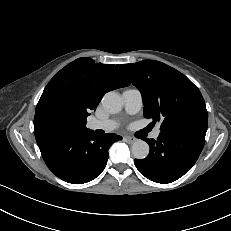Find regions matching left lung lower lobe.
Returning a JSON list of instances; mask_svg holds the SVG:
<instances>
[{
  "label": "left lung lower lobe",
  "mask_w": 231,
  "mask_h": 231,
  "mask_svg": "<svg viewBox=\"0 0 231 231\" xmlns=\"http://www.w3.org/2000/svg\"><path fill=\"white\" fill-rule=\"evenodd\" d=\"M205 135V132L191 129L160 132L157 141L144 139L150 146V153L145 159H135L134 164L141 174L153 182H174L197 161Z\"/></svg>",
  "instance_id": "left-lung-lower-lobe-1"
}]
</instances>
